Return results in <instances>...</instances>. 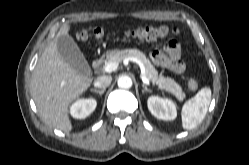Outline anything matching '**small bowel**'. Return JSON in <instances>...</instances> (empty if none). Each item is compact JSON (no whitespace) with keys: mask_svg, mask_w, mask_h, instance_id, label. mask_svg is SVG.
<instances>
[{"mask_svg":"<svg viewBox=\"0 0 249 165\" xmlns=\"http://www.w3.org/2000/svg\"><path fill=\"white\" fill-rule=\"evenodd\" d=\"M152 61L159 67L180 74L185 70L180 44L170 38L164 46V51L153 49L150 52Z\"/></svg>","mask_w":249,"mask_h":165,"instance_id":"c3829d8e","label":"small bowel"}]
</instances>
